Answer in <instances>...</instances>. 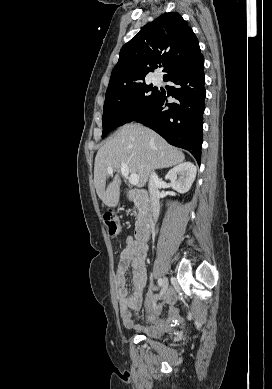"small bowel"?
Here are the masks:
<instances>
[{
	"mask_svg": "<svg viewBox=\"0 0 272 389\" xmlns=\"http://www.w3.org/2000/svg\"><path fill=\"white\" fill-rule=\"evenodd\" d=\"M146 245L139 244L133 240H129L125 248L121 251L119 256V262L115 270V285L117 298L120 308V316L125 327L129 329H135L137 331L150 334L154 329L145 328L137 325L134 322L132 311H137L142 305L143 292L147 282V269H146ZM132 272V292L128 295L126 289L125 274L128 269ZM154 289V287H153ZM157 295L150 294L146 301L147 308H152V313L149 319L155 318L160 309L155 307V299ZM174 302V296L168 294L166 296V303L168 305V311L171 314L175 313L172 307Z\"/></svg>",
	"mask_w": 272,
	"mask_h": 389,
	"instance_id": "c3829d8e",
	"label": "small bowel"
}]
</instances>
